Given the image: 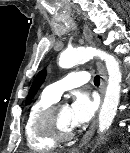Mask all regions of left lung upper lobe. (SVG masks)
<instances>
[{
	"label": "left lung upper lobe",
	"instance_id": "left-lung-upper-lobe-1",
	"mask_svg": "<svg viewBox=\"0 0 130 153\" xmlns=\"http://www.w3.org/2000/svg\"><path fill=\"white\" fill-rule=\"evenodd\" d=\"M45 75H46V72L45 71H40L38 73V75L36 76L31 88H30V91H29V94L27 96V99H26V104L33 98V96L36 94V92L38 91L39 87L42 85V83L44 82V79H45Z\"/></svg>",
	"mask_w": 130,
	"mask_h": 153
}]
</instances>
